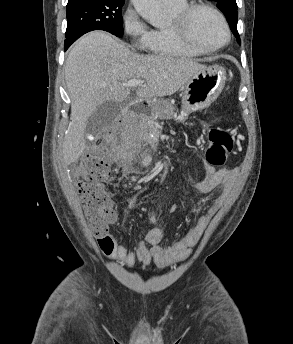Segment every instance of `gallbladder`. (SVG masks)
<instances>
[{"label":"gallbladder","mask_w":293,"mask_h":344,"mask_svg":"<svg viewBox=\"0 0 293 344\" xmlns=\"http://www.w3.org/2000/svg\"><path fill=\"white\" fill-rule=\"evenodd\" d=\"M120 110L119 103L114 101H107L100 105L88 118L85 128L86 133L96 136L102 129L113 123Z\"/></svg>","instance_id":"gallbladder-1"}]
</instances>
